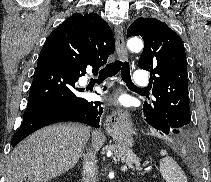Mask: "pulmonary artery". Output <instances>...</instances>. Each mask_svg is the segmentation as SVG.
I'll return each instance as SVG.
<instances>
[{"mask_svg":"<svg viewBox=\"0 0 211 182\" xmlns=\"http://www.w3.org/2000/svg\"><path fill=\"white\" fill-rule=\"evenodd\" d=\"M133 81L137 85H146L148 83V75L141 69L135 71Z\"/></svg>","mask_w":211,"mask_h":182,"instance_id":"1","label":"pulmonary artery"}]
</instances>
